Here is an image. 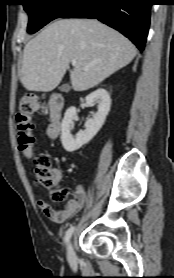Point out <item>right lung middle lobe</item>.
Wrapping results in <instances>:
<instances>
[{"label":"right lung middle lobe","mask_w":174,"mask_h":278,"mask_svg":"<svg viewBox=\"0 0 174 278\" xmlns=\"http://www.w3.org/2000/svg\"><path fill=\"white\" fill-rule=\"evenodd\" d=\"M78 0H24L23 6L29 14L27 31L35 33L50 21L60 17Z\"/></svg>","instance_id":"dd1d6c3e"}]
</instances>
